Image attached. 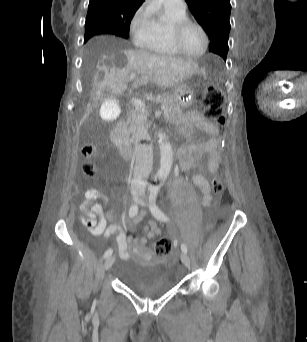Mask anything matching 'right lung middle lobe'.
<instances>
[{"mask_svg": "<svg viewBox=\"0 0 307 342\" xmlns=\"http://www.w3.org/2000/svg\"><path fill=\"white\" fill-rule=\"evenodd\" d=\"M109 33L123 38H128L129 34L127 31L111 30L96 24L92 19L86 18L85 23V37L84 42L90 39L92 36L97 34Z\"/></svg>", "mask_w": 307, "mask_h": 342, "instance_id": "1", "label": "right lung middle lobe"}]
</instances>
